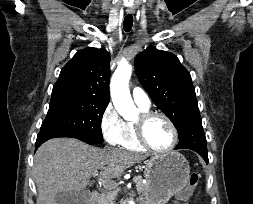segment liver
<instances>
[{
	"mask_svg": "<svg viewBox=\"0 0 253 204\" xmlns=\"http://www.w3.org/2000/svg\"><path fill=\"white\" fill-rule=\"evenodd\" d=\"M145 156L115 148L90 146L74 138H54L39 147L34 157L36 204H56L60 192H80L100 170L101 180L119 177Z\"/></svg>",
	"mask_w": 253,
	"mask_h": 204,
	"instance_id": "obj_1",
	"label": "liver"
}]
</instances>
